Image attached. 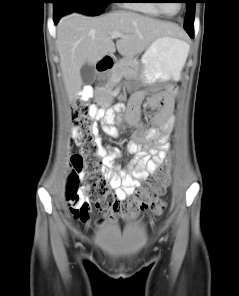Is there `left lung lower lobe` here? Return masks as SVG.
I'll return each instance as SVG.
<instances>
[{
    "label": "left lung lower lobe",
    "instance_id": "0a47b994",
    "mask_svg": "<svg viewBox=\"0 0 239 296\" xmlns=\"http://www.w3.org/2000/svg\"><path fill=\"white\" fill-rule=\"evenodd\" d=\"M184 28L188 32V34L190 35V37L193 38L194 37L193 27H184Z\"/></svg>",
    "mask_w": 239,
    "mask_h": 296
}]
</instances>
